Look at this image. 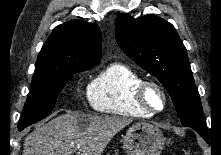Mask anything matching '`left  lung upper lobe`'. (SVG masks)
Wrapping results in <instances>:
<instances>
[{
    "label": "left lung upper lobe",
    "mask_w": 221,
    "mask_h": 155,
    "mask_svg": "<svg viewBox=\"0 0 221 155\" xmlns=\"http://www.w3.org/2000/svg\"><path fill=\"white\" fill-rule=\"evenodd\" d=\"M115 30L122 50L167 89L182 125L203 128L200 96L174 26L154 15L134 19L123 13Z\"/></svg>",
    "instance_id": "obj_1"
}]
</instances>
